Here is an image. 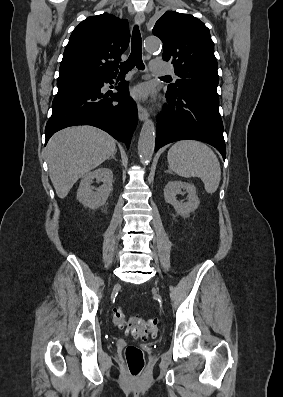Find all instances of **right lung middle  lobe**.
I'll return each instance as SVG.
<instances>
[{
  "instance_id": "1",
  "label": "right lung middle lobe",
  "mask_w": 283,
  "mask_h": 397,
  "mask_svg": "<svg viewBox=\"0 0 283 397\" xmlns=\"http://www.w3.org/2000/svg\"><path fill=\"white\" fill-rule=\"evenodd\" d=\"M87 82H92L89 80H80V81H74V82H57V87L58 88H63L72 84H77V83H87Z\"/></svg>"
}]
</instances>
